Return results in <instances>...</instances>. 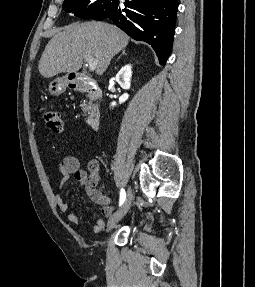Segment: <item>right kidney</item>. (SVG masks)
Segmentation results:
<instances>
[{"mask_svg":"<svg viewBox=\"0 0 255 287\" xmlns=\"http://www.w3.org/2000/svg\"><path fill=\"white\" fill-rule=\"evenodd\" d=\"M131 76H132L131 66L130 64H127V66L121 68L120 72L116 74V82L120 84L123 90H129ZM128 98H129L128 94H123V96H120L119 98V104H123V102H126ZM111 106H116V102H112Z\"/></svg>","mask_w":255,"mask_h":287,"instance_id":"ca27d5eb","label":"right kidney"}]
</instances>
